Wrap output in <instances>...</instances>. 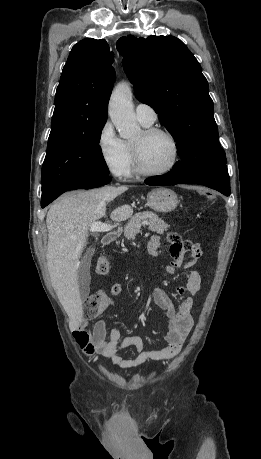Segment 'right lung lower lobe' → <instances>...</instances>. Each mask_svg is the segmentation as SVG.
Instances as JSON below:
<instances>
[{
	"mask_svg": "<svg viewBox=\"0 0 261 459\" xmlns=\"http://www.w3.org/2000/svg\"><path fill=\"white\" fill-rule=\"evenodd\" d=\"M111 181V178L108 176H100V177H88V178H79L76 180H72L62 186H60L54 193L46 198L41 199V207L44 208L53 200H55L58 196L68 190L72 189H91L96 188L99 186H103L108 184Z\"/></svg>",
	"mask_w": 261,
	"mask_h": 459,
	"instance_id": "right-lung-lower-lobe-1",
	"label": "right lung lower lobe"
}]
</instances>
